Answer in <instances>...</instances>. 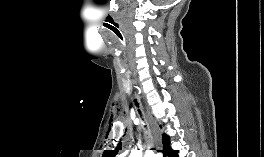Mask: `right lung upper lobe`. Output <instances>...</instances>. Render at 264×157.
Returning <instances> with one entry per match:
<instances>
[{
    "instance_id": "cb5924a9",
    "label": "right lung upper lobe",
    "mask_w": 264,
    "mask_h": 157,
    "mask_svg": "<svg viewBox=\"0 0 264 157\" xmlns=\"http://www.w3.org/2000/svg\"><path fill=\"white\" fill-rule=\"evenodd\" d=\"M163 149L169 145V137L165 134L162 136ZM121 149V143L118 144L115 150H105L102 157H115Z\"/></svg>"
}]
</instances>
